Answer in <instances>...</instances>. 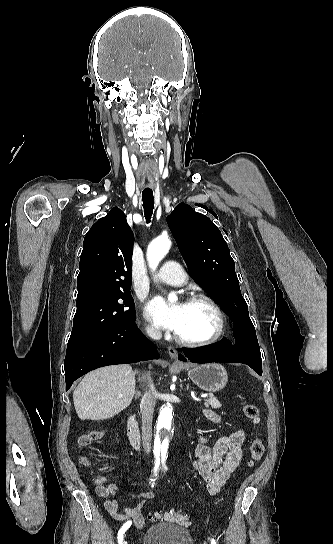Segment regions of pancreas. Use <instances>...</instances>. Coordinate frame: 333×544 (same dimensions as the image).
<instances>
[{"label": "pancreas", "instance_id": "cf45deb5", "mask_svg": "<svg viewBox=\"0 0 333 544\" xmlns=\"http://www.w3.org/2000/svg\"><path fill=\"white\" fill-rule=\"evenodd\" d=\"M204 405L206 407L211 406L213 409H218L221 407L219 400L213 395H210V397L204 401Z\"/></svg>", "mask_w": 333, "mask_h": 544}]
</instances>
